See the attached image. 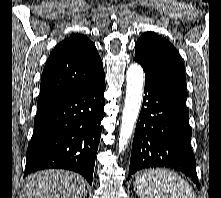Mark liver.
Listing matches in <instances>:
<instances>
[{"instance_id":"6515ba94","label":"liver","mask_w":221,"mask_h":198,"mask_svg":"<svg viewBox=\"0 0 221 198\" xmlns=\"http://www.w3.org/2000/svg\"><path fill=\"white\" fill-rule=\"evenodd\" d=\"M83 177L66 170L50 169L30 175L20 198H85Z\"/></svg>"}]
</instances>
